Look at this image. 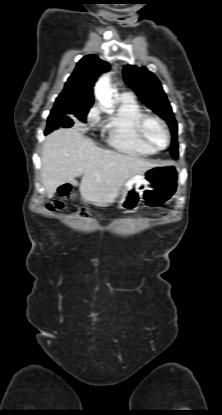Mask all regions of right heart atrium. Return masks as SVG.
Returning a JSON list of instances; mask_svg holds the SVG:
<instances>
[{"mask_svg": "<svg viewBox=\"0 0 222 415\" xmlns=\"http://www.w3.org/2000/svg\"><path fill=\"white\" fill-rule=\"evenodd\" d=\"M100 119V111L97 106L92 107L86 115V121L89 125L94 126Z\"/></svg>", "mask_w": 222, "mask_h": 415, "instance_id": "1", "label": "right heart atrium"}]
</instances>
